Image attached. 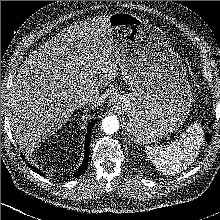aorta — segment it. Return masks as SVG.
<instances>
[{"mask_svg":"<svg viewBox=\"0 0 220 220\" xmlns=\"http://www.w3.org/2000/svg\"><path fill=\"white\" fill-rule=\"evenodd\" d=\"M102 129L107 134H113L119 129V122L115 116H107L102 121Z\"/></svg>","mask_w":220,"mask_h":220,"instance_id":"aorta-1","label":"aorta"}]
</instances>
